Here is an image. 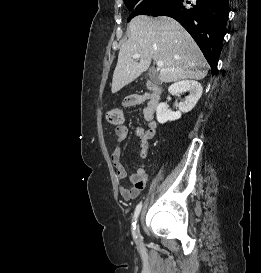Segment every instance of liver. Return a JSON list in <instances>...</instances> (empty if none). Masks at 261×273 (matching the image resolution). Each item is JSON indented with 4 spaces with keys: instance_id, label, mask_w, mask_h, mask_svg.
I'll list each match as a JSON object with an SVG mask.
<instances>
[{
    "instance_id": "6515ba94",
    "label": "liver",
    "mask_w": 261,
    "mask_h": 273,
    "mask_svg": "<svg viewBox=\"0 0 261 273\" xmlns=\"http://www.w3.org/2000/svg\"><path fill=\"white\" fill-rule=\"evenodd\" d=\"M129 38L122 44L113 73L112 93H117L143 72L151 60L162 61L158 80L170 83L206 77L207 62L190 34L174 19L166 16L134 17L128 26ZM135 54L140 58L134 59Z\"/></svg>"
}]
</instances>
